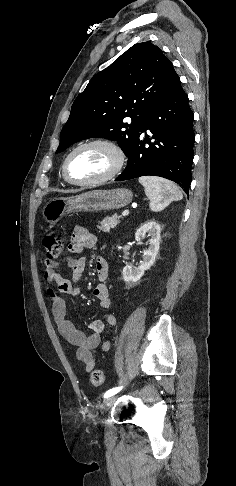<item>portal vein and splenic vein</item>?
<instances>
[{"mask_svg":"<svg viewBox=\"0 0 236 486\" xmlns=\"http://www.w3.org/2000/svg\"><path fill=\"white\" fill-rule=\"evenodd\" d=\"M128 214H129V210H124V211L122 212V216H127Z\"/></svg>","mask_w":236,"mask_h":486,"instance_id":"portal-vein-and-splenic-vein-1","label":"portal vein and splenic vein"}]
</instances>
